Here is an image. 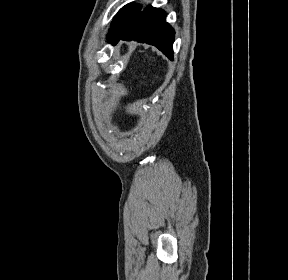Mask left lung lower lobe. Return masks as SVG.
Here are the masks:
<instances>
[{
  "label": "left lung lower lobe",
  "instance_id": "left-lung-lower-lobe-1",
  "mask_svg": "<svg viewBox=\"0 0 288 280\" xmlns=\"http://www.w3.org/2000/svg\"><path fill=\"white\" fill-rule=\"evenodd\" d=\"M174 34L173 28L166 22L165 11L149 5L137 10L109 43L115 45L120 40L147 43L173 60Z\"/></svg>",
  "mask_w": 288,
  "mask_h": 280
}]
</instances>
